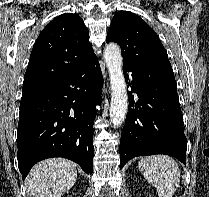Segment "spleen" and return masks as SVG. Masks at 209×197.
Listing matches in <instances>:
<instances>
[{"label":"spleen","instance_id":"1","mask_svg":"<svg viewBox=\"0 0 209 197\" xmlns=\"http://www.w3.org/2000/svg\"><path fill=\"white\" fill-rule=\"evenodd\" d=\"M138 168L145 179L156 188L159 197H172L180 183L176 161L167 155L142 158Z\"/></svg>","mask_w":209,"mask_h":197}]
</instances>
